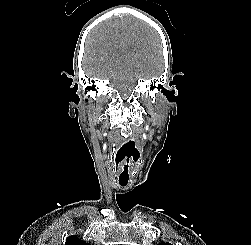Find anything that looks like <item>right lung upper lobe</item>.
Returning a JSON list of instances; mask_svg holds the SVG:
<instances>
[{"label":"right lung upper lobe","mask_w":251,"mask_h":245,"mask_svg":"<svg viewBox=\"0 0 251 245\" xmlns=\"http://www.w3.org/2000/svg\"><path fill=\"white\" fill-rule=\"evenodd\" d=\"M65 245H89V244L78 238L76 235H71L67 238Z\"/></svg>","instance_id":"cb5924a9"}]
</instances>
